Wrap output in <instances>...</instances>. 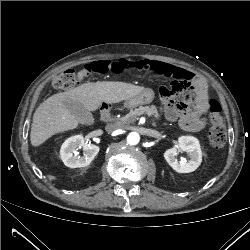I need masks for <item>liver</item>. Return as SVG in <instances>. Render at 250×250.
Listing matches in <instances>:
<instances>
[{
  "mask_svg": "<svg viewBox=\"0 0 250 250\" xmlns=\"http://www.w3.org/2000/svg\"><path fill=\"white\" fill-rule=\"evenodd\" d=\"M144 89L125 82L103 81L84 83L66 92L54 94L41 103L33 115L31 144L39 146L57 133L78 127L79 121L64 105L66 99L81 103L91 112L100 108L102 103H119L138 95Z\"/></svg>",
  "mask_w": 250,
  "mask_h": 250,
  "instance_id": "liver-1",
  "label": "liver"
}]
</instances>
